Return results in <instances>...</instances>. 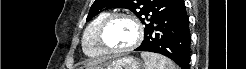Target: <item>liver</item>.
Wrapping results in <instances>:
<instances>
[{
  "label": "liver",
  "instance_id": "obj_1",
  "mask_svg": "<svg viewBox=\"0 0 246 69\" xmlns=\"http://www.w3.org/2000/svg\"><path fill=\"white\" fill-rule=\"evenodd\" d=\"M99 61H95V62H93V63H98Z\"/></svg>",
  "mask_w": 246,
  "mask_h": 69
}]
</instances>
